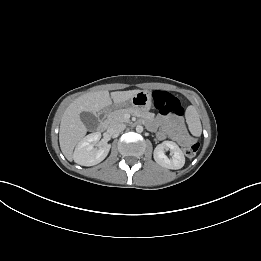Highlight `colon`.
I'll return each mask as SVG.
<instances>
[{"mask_svg": "<svg viewBox=\"0 0 261 261\" xmlns=\"http://www.w3.org/2000/svg\"><path fill=\"white\" fill-rule=\"evenodd\" d=\"M153 102L155 108L163 115L172 114L176 117H181L184 114V109L179 100L168 92H153ZM198 149L199 144L192 143L184 148V153L188 157H193L197 153Z\"/></svg>", "mask_w": 261, "mask_h": 261, "instance_id": "obj_1", "label": "colon"}]
</instances>
